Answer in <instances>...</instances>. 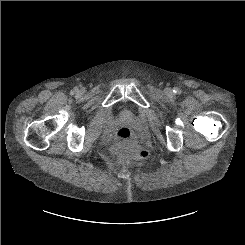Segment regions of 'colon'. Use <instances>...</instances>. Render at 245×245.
<instances>
[{
    "instance_id": "obj_1",
    "label": "colon",
    "mask_w": 245,
    "mask_h": 245,
    "mask_svg": "<svg viewBox=\"0 0 245 245\" xmlns=\"http://www.w3.org/2000/svg\"><path fill=\"white\" fill-rule=\"evenodd\" d=\"M112 150L116 153H130L137 157H145L147 155L146 150L135 143L133 133L128 128L118 130L112 145Z\"/></svg>"
}]
</instances>
